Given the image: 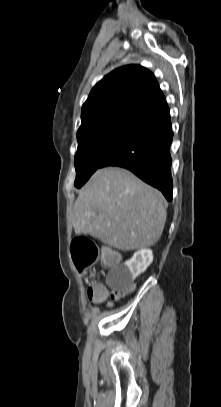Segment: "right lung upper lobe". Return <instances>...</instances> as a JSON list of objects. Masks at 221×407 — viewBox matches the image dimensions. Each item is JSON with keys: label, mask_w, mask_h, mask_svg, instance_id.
Listing matches in <instances>:
<instances>
[{"label": "right lung upper lobe", "mask_w": 221, "mask_h": 407, "mask_svg": "<svg viewBox=\"0 0 221 407\" xmlns=\"http://www.w3.org/2000/svg\"><path fill=\"white\" fill-rule=\"evenodd\" d=\"M167 106L155 76L140 65L120 67L99 81L82 106L77 138L94 130L136 124Z\"/></svg>", "instance_id": "cb5924a9"}]
</instances>
